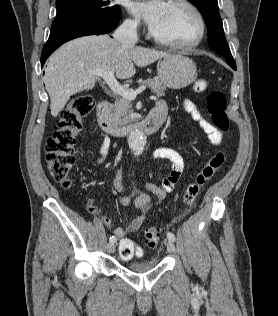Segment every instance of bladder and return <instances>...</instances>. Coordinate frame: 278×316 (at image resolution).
<instances>
[{
	"label": "bladder",
	"mask_w": 278,
	"mask_h": 316,
	"mask_svg": "<svg viewBox=\"0 0 278 316\" xmlns=\"http://www.w3.org/2000/svg\"><path fill=\"white\" fill-rule=\"evenodd\" d=\"M159 264L157 259H148L144 261H134L125 264V267L134 273H146L156 268Z\"/></svg>",
	"instance_id": "31cf9c89"
}]
</instances>
